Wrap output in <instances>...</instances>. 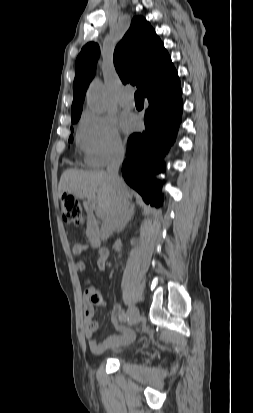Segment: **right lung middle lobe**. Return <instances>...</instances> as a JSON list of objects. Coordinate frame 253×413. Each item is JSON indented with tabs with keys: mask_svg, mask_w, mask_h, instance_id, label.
Instances as JSON below:
<instances>
[{
	"mask_svg": "<svg viewBox=\"0 0 253 413\" xmlns=\"http://www.w3.org/2000/svg\"><path fill=\"white\" fill-rule=\"evenodd\" d=\"M80 117L72 120V123H76L79 120ZM71 132H73V128L71 127ZM69 141L72 142L73 141V136H70Z\"/></svg>",
	"mask_w": 253,
	"mask_h": 413,
	"instance_id": "dd1d6c3e",
	"label": "right lung middle lobe"
}]
</instances>
